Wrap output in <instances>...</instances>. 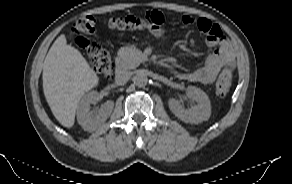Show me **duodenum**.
Here are the masks:
<instances>
[{
  "mask_svg": "<svg viewBox=\"0 0 292 184\" xmlns=\"http://www.w3.org/2000/svg\"><path fill=\"white\" fill-rule=\"evenodd\" d=\"M115 67L117 69L118 74H121L123 72V62H122V59L120 57H116Z\"/></svg>",
  "mask_w": 292,
  "mask_h": 184,
  "instance_id": "1",
  "label": "duodenum"
}]
</instances>
